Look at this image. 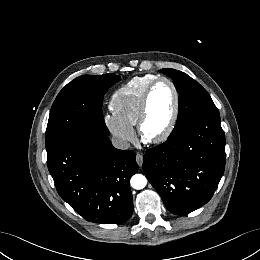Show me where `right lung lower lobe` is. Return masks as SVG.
I'll use <instances>...</instances> for the list:
<instances>
[{"label": "right lung lower lobe", "instance_id": "right-lung-lower-lobe-1", "mask_svg": "<svg viewBox=\"0 0 260 260\" xmlns=\"http://www.w3.org/2000/svg\"><path fill=\"white\" fill-rule=\"evenodd\" d=\"M135 157L114 148L108 136L87 131L64 142L47 165L61 198L84 219L118 224L133 213L129 180L138 170Z\"/></svg>", "mask_w": 260, "mask_h": 260}]
</instances>
